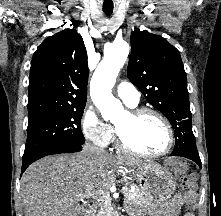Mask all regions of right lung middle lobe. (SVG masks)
<instances>
[{
  "label": "right lung middle lobe",
  "instance_id": "obj_1",
  "mask_svg": "<svg viewBox=\"0 0 221 216\" xmlns=\"http://www.w3.org/2000/svg\"><path fill=\"white\" fill-rule=\"evenodd\" d=\"M84 108L85 105L68 107L28 118L22 162L60 146L84 144L80 127Z\"/></svg>",
  "mask_w": 221,
  "mask_h": 216
}]
</instances>
